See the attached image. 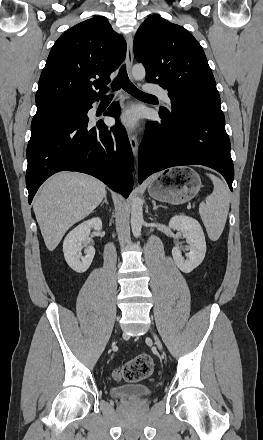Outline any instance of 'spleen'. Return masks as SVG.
<instances>
[{
  "label": "spleen",
  "mask_w": 263,
  "mask_h": 440,
  "mask_svg": "<svg viewBox=\"0 0 263 440\" xmlns=\"http://www.w3.org/2000/svg\"><path fill=\"white\" fill-rule=\"evenodd\" d=\"M214 185L213 192L200 203L199 213L208 237L216 241L226 224L230 204V191L225 183L213 174H206Z\"/></svg>",
  "instance_id": "1"
}]
</instances>
